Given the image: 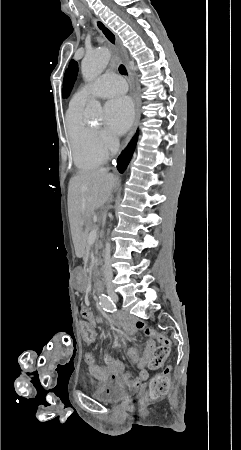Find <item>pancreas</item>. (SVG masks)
Segmentation results:
<instances>
[{
	"mask_svg": "<svg viewBox=\"0 0 241 450\" xmlns=\"http://www.w3.org/2000/svg\"><path fill=\"white\" fill-rule=\"evenodd\" d=\"M90 232H92V230H90ZM85 234H86V240H88V230H85Z\"/></svg>",
	"mask_w": 241,
	"mask_h": 450,
	"instance_id": "pancreas-1",
	"label": "pancreas"
}]
</instances>
